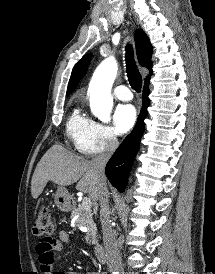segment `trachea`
Returning <instances> with one entry per match:
<instances>
[{"label":"trachea","mask_w":215,"mask_h":274,"mask_svg":"<svg viewBox=\"0 0 215 274\" xmlns=\"http://www.w3.org/2000/svg\"><path fill=\"white\" fill-rule=\"evenodd\" d=\"M126 67H127V77L131 87L140 92L142 88V77L137 69L134 61V53L131 45L126 46Z\"/></svg>","instance_id":"3493384b"}]
</instances>
